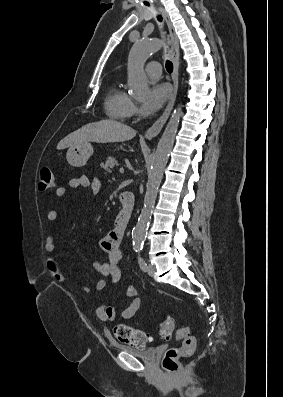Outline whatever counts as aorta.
<instances>
[{"label": "aorta", "instance_id": "obj_1", "mask_svg": "<svg viewBox=\"0 0 283 397\" xmlns=\"http://www.w3.org/2000/svg\"><path fill=\"white\" fill-rule=\"evenodd\" d=\"M160 48L161 43L159 40H143L135 43L130 50L127 65L128 87L132 96L137 99L145 98L149 92L147 78L144 73V64L148 57ZM181 112L182 106L179 105L171 114L153 156L143 208L132 231L133 248L135 250L142 249L163 172L175 141Z\"/></svg>", "mask_w": 283, "mask_h": 397}]
</instances>
